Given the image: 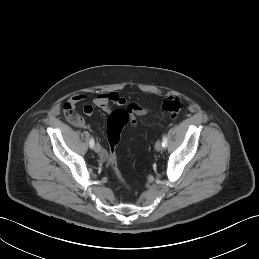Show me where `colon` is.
<instances>
[{"label":"colon","mask_w":259,"mask_h":259,"mask_svg":"<svg viewBox=\"0 0 259 259\" xmlns=\"http://www.w3.org/2000/svg\"><path fill=\"white\" fill-rule=\"evenodd\" d=\"M161 109L163 112L171 117H177L182 109V102L176 97H168L161 102ZM63 112L66 119L72 124H77L81 117L79 113L75 110V106L72 100H68L63 105ZM130 121V114L125 109H116L111 112L107 121V138L109 142V150L105 154V161L109 169L114 173L118 181L127 187L119 169L116 160V147L119 143L123 129Z\"/></svg>","instance_id":"colon-1"}]
</instances>
